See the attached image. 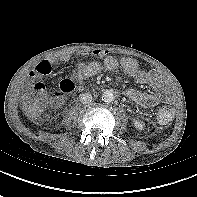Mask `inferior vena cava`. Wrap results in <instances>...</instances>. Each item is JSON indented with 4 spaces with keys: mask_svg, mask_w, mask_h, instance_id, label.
<instances>
[{
    "mask_svg": "<svg viewBox=\"0 0 197 197\" xmlns=\"http://www.w3.org/2000/svg\"><path fill=\"white\" fill-rule=\"evenodd\" d=\"M80 101L83 104H89L92 101V96L89 93H83L80 95Z\"/></svg>",
    "mask_w": 197,
    "mask_h": 197,
    "instance_id": "inferior-vena-cava-1",
    "label": "inferior vena cava"
}]
</instances>
